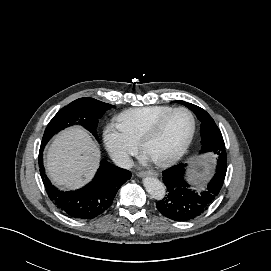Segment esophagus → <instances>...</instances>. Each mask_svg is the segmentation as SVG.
I'll return each mask as SVG.
<instances>
[{"mask_svg":"<svg viewBox=\"0 0 271 271\" xmlns=\"http://www.w3.org/2000/svg\"><path fill=\"white\" fill-rule=\"evenodd\" d=\"M139 177H145V176H153V177H157L158 173L155 171H141L138 172L137 174Z\"/></svg>","mask_w":271,"mask_h":271,"instance_id":"1","label":"esophagus"}]
</instances>
